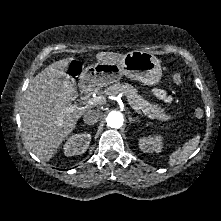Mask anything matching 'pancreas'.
<instances>
[{"label":"pancreas","instance_id":"obj_1","mask_svg":"<svg viewBox=\"0 0 221 221\" xmlns=\"http://www.w3.org/2000/svg\"><path fill=\"white\" fill-rule=\"evenodd\" d=\"M119 93H124L133 104L149 118L160 119L161 121H168L171 119V116L167 115L164 109L157 105L150 104L138 94L136 88L128 83H116L105 90V94L107 95H117Z\"/></svg>","mask_w":221,"mask_h":221}]
</instances>
